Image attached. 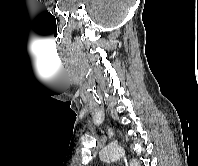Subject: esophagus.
I'll list each match as a JSON object with an SVG mask.
<instances>
[{
    "instance_id": "34e87169",
    "label": "esophagus",
    "mask_w": 198,
    "mask_h": 166,
    "mask_svg": "<svg viewBox=\"0 0 198 166\" xmlns=\"http://www.w3.org/2000/svg\"><path fill=\"white\" fill-rule=\"evenodd\" d=\"M123 162H124L125 166H129V161H128L127 157L123 158Z\"/></svg>"
}]
</instances>
